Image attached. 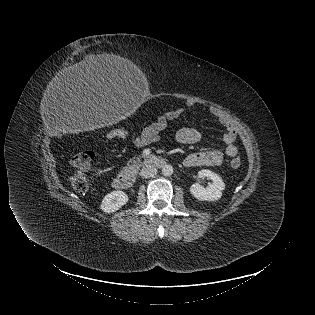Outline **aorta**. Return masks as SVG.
<instances>
[{
	"label": "aorta",
	"mask_w": 315,
	"mask_h": 315,
	"mask_svg": "<svg viewBox=\"0 0 315 315\" xmlns=\"http://www.w3.org/2000/svg\"><path fill=\"white\" fill-rule=\"evenodd\" d=\"M162 174L164 176H171L173 174V167L171 165H164L162 168Z\"/></svg>",
	"instance_id": "1"
}]
</instances>
